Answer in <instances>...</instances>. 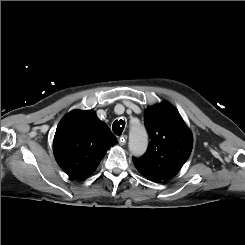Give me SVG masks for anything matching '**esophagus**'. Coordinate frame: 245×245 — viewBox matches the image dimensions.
Returning a JSON list of instances; mask_svg holds the SVG:
<instances>
[{
	"mask_svg": "<svg viewBox=\"0 0 245 245\" xmlns=\"http://www.w3.org/2000/svg\"><path fill=\"white\" fill-rule=\"evenodd\" d=\"M127 135H122L120 138H119V144L121 145V146H124V145H126V143H127Z\"/></svg>",
	"mask_w": 245,
	"mask_h": 245,
	"instance_id": "obj_1",
	"label": "esophagus"
}]
</instances>
